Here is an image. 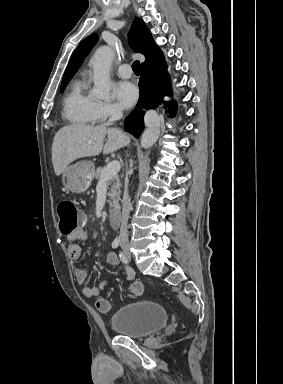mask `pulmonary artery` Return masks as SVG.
<instances>
[{"label":"pulmonary artery","mask_w":283,"mask_h":384,"mask_svg":"<svg viewBox=\"0 0 283 384\" xmlns=\"http://www.w3.org/2000/svg\"><path fill=\"white\" fill-rule=\"evenodd\" d=\"M116 73L121 78H129L132 75V69L129 65H121Z\"/></svg>","instance_id":"1"}]
</instances>
